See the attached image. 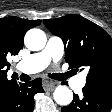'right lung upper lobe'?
<instances>
[{
	"instance_id": "1",
	"label": "right lung upper lobe",
	"mask_w": 112,
	"mask_h": 112,
	"mask_svg": "<svg viewBox=\"0 0 112 112\" xmlns=\"http://www.w3.org/2000/svg\"><path fill=\"white\" fill-rule=\"evenodd\" d=\"M40 23L41 20H27L18 17L0 19V102L10 86L17 82L15 79H7L8 68L6 67L10 66L7 57L18 54L23 47L25 33Z\"/></svg>"
}]
</instances>
